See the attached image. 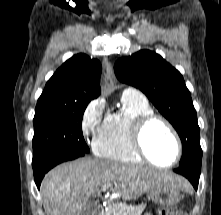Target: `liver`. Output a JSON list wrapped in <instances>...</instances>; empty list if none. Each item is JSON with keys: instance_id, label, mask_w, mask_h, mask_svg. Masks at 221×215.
Returning <instances> with one entry per match:
<instances>
[{"instance_id": "6515ba94", "label": "liver", "mask_w": 221, "mask_h": 215, "mask_svg": "<svg viewBox=\"0 0 221 215\" xmlns=\"http://www.w3.org/2000/svg\"><path fill=\"white\" fill-rule=\"evenodd\" d=\"M124 200H132L161 186L187 188L185 179L173 173L142 166L80 158L52 169L44 177L40 193L46 215H82L91 196H99L104 186ZM110 186V187H111Z\"/></svg>"}]
</instances>
